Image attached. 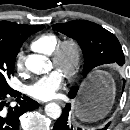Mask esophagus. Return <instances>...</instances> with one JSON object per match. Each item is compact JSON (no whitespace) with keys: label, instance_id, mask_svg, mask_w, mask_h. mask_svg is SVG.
Returning <instances> with one entry per match:
<instances>
[{"label":"esophagus","instance_id":"1","mask_svg":"<svg viewBox=\"0 0 130 130\" xmlns=\"http://www.w3.org/2000/svg\"><path fill=\"white\" fill-rule=\"evenodd\" d=\"M54 102H56V103H58V104H60V105H64V102L62 101V100H55Z\"/></svg>","mask_w":130,"mask_h":130}]
</instances>
